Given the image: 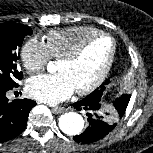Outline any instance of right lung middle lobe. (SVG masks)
<instances>
[{
    "instance_id": "obj_1",
    "label": "right lung middle lobe",
    "mask_w": 153,
    "mask_h": 153,
    "mask_svg": "<svg viewBox=\"0 0 153 153\" xmlns=\"http://www.w3.org/2000/svg\"><path fill=\"white\" fill-rule=\"evenodd\" d=\"M33 33L28 26L14 22L0 24V86L7 88L18 87L23 73L19 71L17 60L20 54L18 48L27 35Z\"/></svg>"
}]
</instances>
